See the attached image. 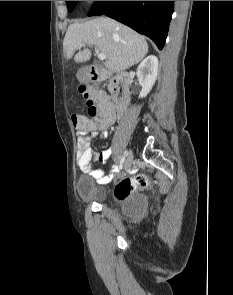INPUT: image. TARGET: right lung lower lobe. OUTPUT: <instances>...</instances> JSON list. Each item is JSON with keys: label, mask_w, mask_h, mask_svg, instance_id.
<instances>
[{"label": "right lung lower lobe", "mask_w": 233, "mask_h": 295, "mask_svg": "<svg viewBox=\"0 0 233 295\" xmlns=\"http://www.w3.org/2000/svg\"><path fill=\"white\" fill-rule=\"evenodd\" d=\"M173 10L174 1H96L88 16L106 14L150 37L161 50Z\"/></svg>", "instance_id": "1"}]
</instances>
